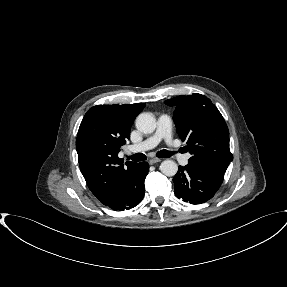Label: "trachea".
<instances>
[{"label": "trachea", "mask_w": 287, "mask_h": 287, "mask_svg": "<svg viewBox=\"0 0 287 287\" xmlns=\"http://www.w3.org/2000/svg\"><path fill=\"white\" fill-rule=\"evenodd\" d=\"M156 155L159 158H168L172 156V152L167 151V150H161V151H158ZM128 158L136 162L144 161L147 159V157L143 153H136L132 156H129Z\"/></svg>", "instance_id": "1"}]
</instances>
